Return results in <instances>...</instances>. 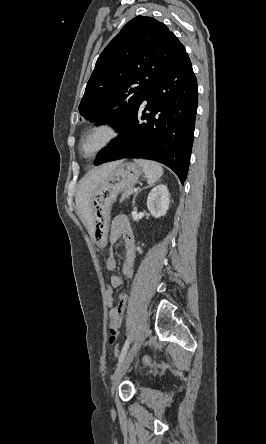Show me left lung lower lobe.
<instances>
[{"label": "left lung lower lobe", "mask_w": 266, "mask_h": 444, "mask_svg": "<svg viewBox=\"0 0 266 444\" xmlns=\"http://www.w3.org/2000/svg\"><path fill=\"white\" fill-rule=\"evenodd\" d=\"M144 101L147 104L143 108ZM197 103V81L186 54L151 87L120 126L122 135L99 152L94 164L121 158L154 160L171 168L183 184L194 139Z\"/></svg>", "instance_id": "1"}]
</instances>
